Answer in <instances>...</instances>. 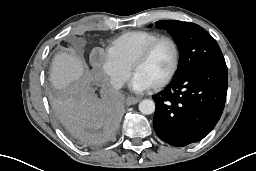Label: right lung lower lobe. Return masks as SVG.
I'll use <instances>...</instances> for the list:
<instances>
[{"label":"right lung lower lobe","mask_w":256,"mask_h":171,"mask_svg":"<svg viewBox=\"0 0 256 171\" xmlns=\"http://www.w3.org/2000/svg\"><path fill=\"white\" fill-rule=\"evenodd\" d=\"M55 110L71 137L81 143L102 145L111 140L118 128L122 97L109 86L90 87Z\"/></svg>","instance_id":"1"}]
</instances>
